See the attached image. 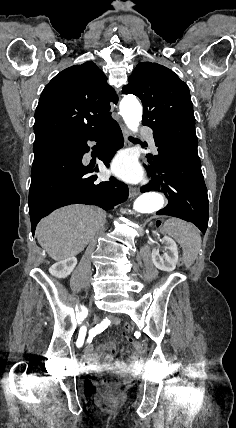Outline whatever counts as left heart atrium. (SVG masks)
<instances>
[{"label":"left heart atrium","mask_w":236,"mask_h":428,"mask_svg":"<svg viewBox=\"0 0 236 428\" xmlns=\"http://www.w3.org/2000/svg\"><path fill=\"white\" fill-rule=\"evenodd\" d=\"M113 172L117 176L128 181H135L140 176L136 161L128 154H121L115 159L113 163Z\"/></svg>","instance_id":"obj_1"}]
</instances>
